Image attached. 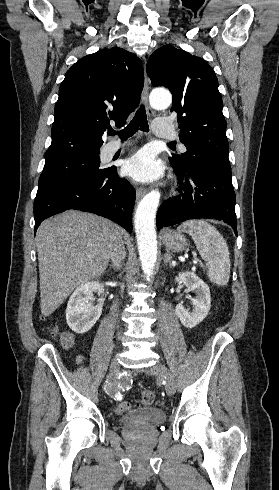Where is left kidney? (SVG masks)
<instances>
[{
    "instance_id": "1",
    "label": "left kidney",
    "mask_w": 279,
    "mask_h": 490,
    "mask_svg": "<svg viewBox=\"0 0 279 490\" xmlns=\"http://www.w3.org/2000/svg\"><path fill=\"white\" fill-rule=\"evenodd\" d=\"M175 282L186 286V292H194L195 294V298H191L192 312L186 310L183 304H177L175 308L176 316H178L181 324L185 328H195L197 324L205 320L211 308L209 286L203 280H200L194 272H180L175 278Z\"/></svg>"
}]
</instances>
